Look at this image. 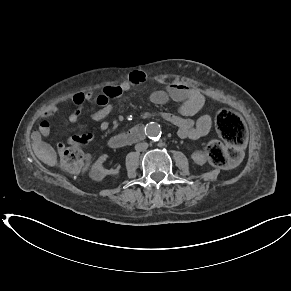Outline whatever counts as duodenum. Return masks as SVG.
I'll return each instance as SVG.
<instances>
[{
	"label": "duodenum",
	"instance_id": "obj_1",
	"mask_svg": "<svg viewBox=\"0 0 291 291\" xmlns=\"http://www.w3.org/2000/svg\"><path fill=\"white\" fill-rule=\"evenodd\" d=\"M164 119V118H163ZM144 136V125L139 124L132 128L130 131L112 137L109 140L111 148H122L140 141Z\"/></svg>",
	"mask_w": 291,
	"mask_h": 291
}]
</instances>
